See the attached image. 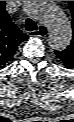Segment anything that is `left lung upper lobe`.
I'll list each match as a JSON object with an SVG mask.
<instances>
[{
  "label": "left lung upper lobe",
  "instance_id": "left-lung-upper-lobe-1",
  "mask_svg": "<svg viewBox=\"0 0 74 122\" xmlns=\"http://www.w3.org/2000/svg\"><path fill=\"white\" fill-rule=\"evenodd\" d=\"M70 10L72 13V29L73 36L71 44L62 51H55L58 58L68 67L74 68V1H69Z\"/></svg>",
  "mask_w": 74,
  "mask_h": 122
}]
</instances>
